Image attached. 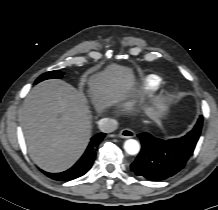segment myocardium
<instances>
[{"label": "myocardium", "mask_w": 218, "mask_h": 210, "mask_svg": "<svg viewBox=\"0 0 218 210\" xmlns=\"http://www.w3.org/2000/svg\"><path fill=\"white\" fill-rule=\"evenodd\" d=\"M171 97H172V94L171 93H168L165 97V101H170L171 100Z\"/></svg>", "instance_id": "obj_1"}]
</instances>
